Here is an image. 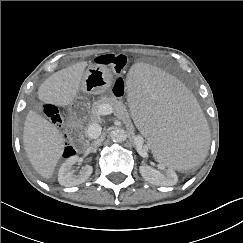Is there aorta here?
I'll list each match as a JSON object with an SVG mask.
<instances>
[{"instance_id": "aorta-1", "label": "aorta", "mask_w": 243, "mask_h": 243, "mask_svg": "<svg viewBox=\"0 0 243 243\" xmlns=\"http://www.w3.org/2000/svg\"><path fill=\"white\" fill-rule=\"evenodd\" d=\"M110 136L114 142H118V143L124 142L127 139V134L125 130L121 128H117L111 131Z\"/></svg>"}]
</instances>
